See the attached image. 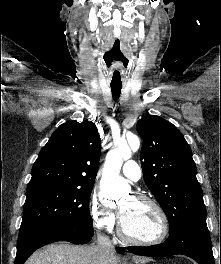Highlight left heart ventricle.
I'll use <instances>...</instances> for the list:
<instances>
[{
    "label": "left heart ventricle",
    "instance_id": "b2bd125f",
    "mask_svg": "<svg viewBox=\"0 0 221 264\" xmlns=\"http://www.w3.org/2000/svg\"><path fill=\"white\" fill-rule=\"evenodd\" d=\"M119 210L123 228L130 237L148 241L160 235L161 219L150 204L130 197L120 204Z\"/></svg>",
    "mask_w": 221,
    "mask_h": 264
}]
</instances>
